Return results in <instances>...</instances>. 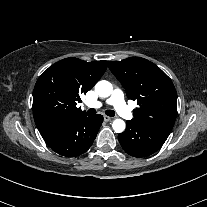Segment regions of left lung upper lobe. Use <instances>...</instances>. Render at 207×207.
<instances>
[{
    "instance_id": "obj_1",
    "label": "left lung upper lobe",
    "mask_w": 207,
    "mask_h": 207,
    "mask_svg": "<svg viewBox=\"0 0 207 207\" xmlns=\"http://www.w3.org/2000/svg\"><path fill=\"white\" fill-rule=\"evenodd\" d=\"M109 68L138 108L130 121L142 127L170 133L177 114V93L171 79L155 64L132 57L109 61Z\"/></svg>"
}]
</instances>
